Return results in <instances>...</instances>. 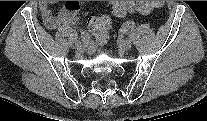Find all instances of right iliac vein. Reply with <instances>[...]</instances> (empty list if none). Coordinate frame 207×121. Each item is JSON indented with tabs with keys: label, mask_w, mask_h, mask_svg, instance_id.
<instances>
[{
	"label": "right iliac vein",
	"mask_w": 207,
	"mask_h": 121,
	"mask_svg": "<svg viewBox=\"0 0 207 121\" xmlns=\"http://www.w3.org/2000/svg\"><path fill=\"white\" fill-rule=\"evenodd\" d=\"M83 48H84V44L81 43L80 41H77V42H76V49H77L78 51H80V50H82Z\"/></svg>",
	"instance_id": "obj_1"
}]
</instances>
